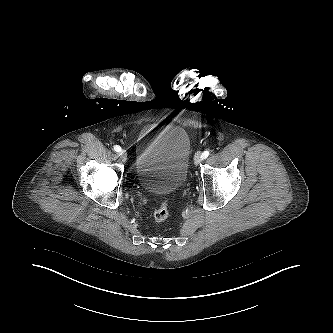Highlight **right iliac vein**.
<instances>
[{"label":"right iliac vein","instance_id":"right-iliac-vein-1","mask_svg":"<svg viewBox=\"0 0 333 333\" xmlns=\"http://www.w3.org/2000/svg\"><path fill=\"white\" fill-rule=\"evenodd\" d=\"M120 156L124 162L127 160V153L124 150L120 152Z\"/></svg>","mask_w":333,"mask_h":333}]
</instances>
